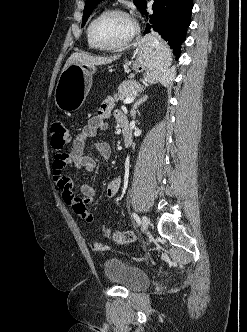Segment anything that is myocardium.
<instances>
[{
	"instance_id": "f54148a6",
	"label": "myocardium",
	"mask_w": 247,
	"mask_h": 332,
	"mask_svg": "<svg viewBox=\"0 0 247 332\" xmlns=\"http://www.w3.org/2000/svg\"><path fill=\"white\" fill-rule=\"evenodd\" d=\"M114 14H119V15H123L125 17H127L131 23H132V30L129 33V35L120 43L118 44H114V45H105L100 43L97 38L95 37L94 34V28L95 25L103 18L109 16V15H114ZM139 31V27L138 24L136 22V20L126 11L119 9V8H113V9H107L105 11H103L102 13H100L99 15H97L89 24V28H88V33H89V37L91 39V41L93 42V44L102 50H107V51H116V50H120L125 48L127 45H129L131 43V41L135 38V36L138 34Z\"/></svg>"
}]
</instances>
